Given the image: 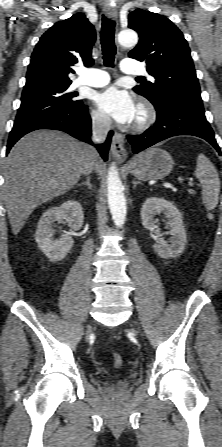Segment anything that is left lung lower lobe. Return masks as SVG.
I'll return each instance as SVG.
<instances>
[{"label": "left lung lower lobe", "instance_id": "0a47b994", "mask_svg": "<svg viewBox=\"0 0 222 447\" xmlns=\"http://www.w3.org/2000/svg\"><path fill=\"white\" fill-rule=\"evenodd\" d=\"M155 124L141 135H128L134 154L177 135H193L208 141L221 154L212 128L205 117L203 107L179 99L167 100L156 108Z\"/></svg>", "mask_w": 222, "mask_h": 447}]
</instances>
